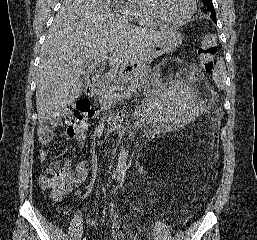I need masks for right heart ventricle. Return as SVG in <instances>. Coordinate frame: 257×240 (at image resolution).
<instances>
[{"instance_id":"e07e8e85","label":"right heart ventricle","mask_w":257,"mask_h":240,"mask_svg":"<svg viewBox=\"0 0 257 240\" xmlns=\"http://www.w3.org/2000/svg\"><path fill=\"white\" fill-rule=\"evenodd\" d=\"M127 7L131 11L132 20L138 25L145 28H158L162 25L152 17L147 0H128Z\"/></svg>"}]
</instances>
